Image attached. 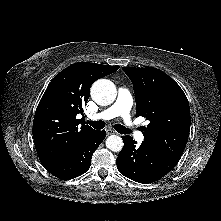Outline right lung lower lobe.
Wrapping results in <instances>:
<instances>
[{
  "label": "right lung lower lobe",
  "instance_id": "right-lung-lower-lobe-1",
  "mask_svg": "<svg viewBox=\"0 0 221 221\" xmlns=\"http://www.w3.org/2000/svg\"><path fill=\"white\" fill-rule=\"evenodd\" d=\"M106 131L94 130L68 154L44 167L59 179H73L88 171L93 152L104 140Z\"/></svg>",
  "mask_w": 221,
  "mask_h": 221
}]
</instances>
